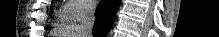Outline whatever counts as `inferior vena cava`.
I'll use <instances>...</instances> for the list:
<instances>
[{
    "instance_id": "obj_1",
    "label": "inferior vena cava",
    "mask_w": 219,
    "mask_h": 37,
    "mask_svg": "<svg viewBox=\"0 0 219 37\" xmlns=\"http://www.w3.org/2000/svg\"><path fill=\"white\" fill-rule=\"evenodd\" d=\"M95 7L89 6L85 9L82 22L77 30L79 37H92V29L95 21Z\"/></svg>"
}]
</instances>
